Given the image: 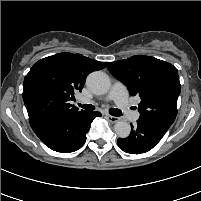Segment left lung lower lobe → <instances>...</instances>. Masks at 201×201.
<instances>
[{
  "label": "left lung lower lobe",
  "instance_id": "0a47b994",
  "mask_svg": "<svg viewBox=\"0 0 201 201\" xmlns=\"http://www.w3.org/2000/svg\"><path fill=\"white\" fill-rule=\"evenodd\" d=\"M171 125L162 121L137 120V125L131 124V134L117 140L118 146L126 153H145L155 147Z\"/></svg>",
  "mask_w": 201,
  "mask_h": 201
}]
</instances>
